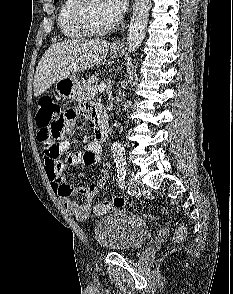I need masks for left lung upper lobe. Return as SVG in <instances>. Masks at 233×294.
Instances as JSON below:
<instances>
[{
	"mask_svg": "<svg viewBox=\"0 0 233 294\" xmlns=\"http://www.w3.org/2000/svg\"><path fill=\"white\" fill-rule=\"evenodd\" d=\"M58 0H54V2L56 3Z\"/></svg>",
	"mask_w": 233,
	"mask_h": 294,
	"instance_id": "obj_1",
	"label": "left lung upper lobe"
}]
</instances>
